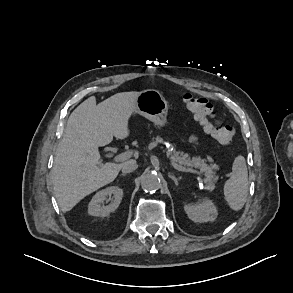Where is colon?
Here are the masks:
<instances>
[{
  "instance_id": "obj_1",
  "label": "colon",
  "mask_w": 293,
  "mask_h": 293,
  "mask_svg": "<svg viewBox=\"0 0 293 293\" xmlns=\"http://www.w3.org/2000/svg\"><path fill=\"white\" fill-rule=\"evenodd\" d=\"M183 103L193 117L203 126L215 140L221 144H228L235 135V129L223 124L216 116L213 105L204 97L186 94Z\"/></svg>"
}]
</instances>
